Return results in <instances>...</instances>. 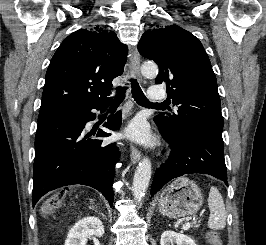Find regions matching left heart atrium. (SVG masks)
<instances>
[{"instance_id":"39dd6f15","label":"left heart atrium","mask_w":266,"mask_h":245,"mask_svg":"<svg viewBox=\"0 0 266 245\" xmlns=\"http://www.w3.org/2000/svg\"><path fill=\"white\" fill-rule=\"evenodd\" d=\"M127 135L138 141H147L149 139L147 126L142 121L133 122L127 130Z\"/></svg>"}]
</instances>
